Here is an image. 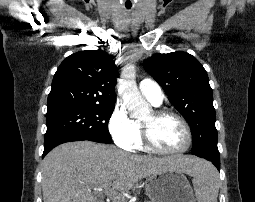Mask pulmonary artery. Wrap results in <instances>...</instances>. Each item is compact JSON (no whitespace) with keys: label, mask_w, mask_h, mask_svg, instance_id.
Here are the masks:
<instances>
[{"label":"pulmonary artery","mask_w":255,"mask_h":202,"mask_svg":"<svg viewBox=\"0 0 255 202\" xmlns=\"http://www.w3.org/2000/svg\"><path fill=\"white\" fill-rule=\"evenodd\" d=\"M141 94L153 105L158 106L163 101V92L159 84L151 79H143L139 83Z\"/></svg>","instance_id":"pulmonary-artery-1"}]
</instances>
